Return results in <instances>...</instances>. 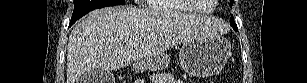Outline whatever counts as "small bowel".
<instances>
[{
	"label": "small bowel",
	"mask_w": 307,
	"mask_h": 83,
	"mask_svg": "<svg viewBox=\"0 0 307 83\" xmlns=\"http://www.w3.org/2000/svg\"><path fill=\"white\" fill-rule=\"evenodd\" d=\"M157 83H173L174 82V78L172 75L164 73L161 74L159 77V80L156 81Z\"/></svg>",
	"instance_id": "1"
}]
</instances>
